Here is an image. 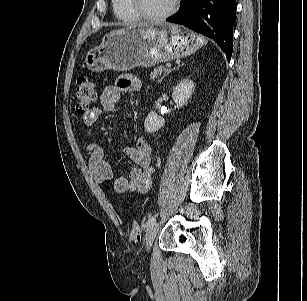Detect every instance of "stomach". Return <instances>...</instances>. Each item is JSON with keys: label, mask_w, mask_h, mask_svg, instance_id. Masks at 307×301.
I'll use <instances>...</instances> for the list:
<instances>
[{"label": "stomach", "mask_w": 307, "mask_h": 301, "mask_svg": "<svg viewBox=\"0 0 307 301\" xmlns=\"http://www.w3.org/2000/svg\"><path fill=\"white\" fill-rule=\"evenodd\" d=\"M205 43L204 37L181 25L128 26L109 32L99 46L86 53L84 65L93 72L151 67L193 54Z\"/></svg>", "instance_id": "0dacf381"}]
</instances>
